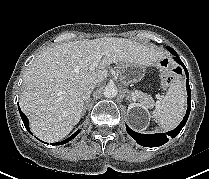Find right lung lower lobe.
Wrapping results in <instances>:
<instances>
[{
  "mask_svg": "<svg viewBox=\"0 0 209 179\" xmlns=\"http://www.w3.org/2000/svg\"><path fill=\"white\" fill-rule=\"evenodd\" d=\"M18 108H19V105H18ZM19 112H20L21 118H22V120H23V123H24L26 129L30 132V134H32L31 131H30V129H29V126H28V118H27V117L25 116V114L20 110V108H19ZM79 132H80V131L78 130V131H76L72 136H70L69 138H67L66 140L61 141V142H57V143H52V145H62V144H65V143L69 142L70 140H72L74 137H76V136L79 134Z\"/></svg>",
  "mask_w": 209,
  "mask_h": 179,
  "instance_id": "98d812e1",
  "label": "right lung lower lobe"
}]
</instances>
